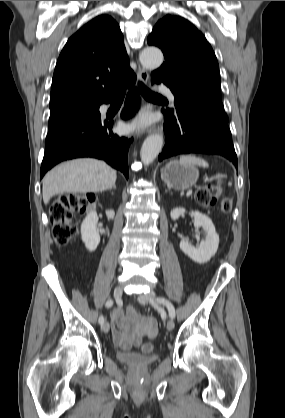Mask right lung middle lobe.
Here are the masks:
<instances>
[{
    "instance_id": "right-lung-middle-lobe-1",
    "label": "right lung middle lobe",
    "mask_w": 285,
    "mask_h": 418,
    "mask_svg": "<svg viewBox=\"0 0 285 418\" xmlns=\"http://www.w3.org/2000/svg\"><path fill=\"white\" fill-rule=\"evenodd\" d=\"M100 104L69 103L50 107L49 131L66 123L100 116Z\"/></svg>"
}]
</instances>
